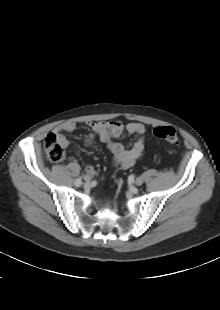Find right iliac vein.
<instances>
[{
  "label": "right iliac vein",
  "mask_w": 220,
  "mask_h": 310,
  "mask_svg": "<svg viewBox=\"0 0 220 310\" xmlns=\"http://www.w3.org/2000/svg\"><path fill=\"white\" fill-rule=\"evenodd\" d=\"M84 180L89 183L91 181V176L90 175H85Z\"/></svg>",
  "instance_id": "right-iliac-vein-1"
}]
</instances>
